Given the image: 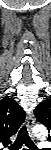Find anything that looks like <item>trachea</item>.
Returning a JSON list of instances; mask_svg holds the SVG:
<instances>
[{
	"label": "trachea",
	"instance_id": "trachea-1",
	"mask_svg": "<svg viewBox=\"0 0 51 150\" xmlns=\"http://www.w3.org/2000/svg\"><path fill=\"white\" fill-rule=\"evenodd\" d=\"M23 144H25L29 148V150H34L33 148H36L35 144L32 142V140L28 136L26 126H23L20 129L17 135L16 141L9 146V149L19 150Z\"/></svg>",
	"mask_w": 51,
	"mask_h": 150
}]
</instances>
